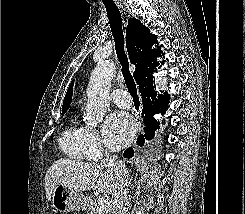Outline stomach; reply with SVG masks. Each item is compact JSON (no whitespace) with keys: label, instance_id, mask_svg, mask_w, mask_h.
Returning <instances> with one entry per match:
<instances>
[{"label":"stomach","instance_id":"stomach-1","mask_svg":"<svg viewBox=\"0 0 245 214\" xmlns=\"http://www.w3.org/2000/svg\"><path fill=\"white\" fill-rule=\"evenodd\" d=\"M90 202L91 199L82 191L69 189L62 185H57L52 195L53 208L62 213L85 210L89 207Z\"/></svg>","mask_w":245,"mask_h":214}]
</instances>
